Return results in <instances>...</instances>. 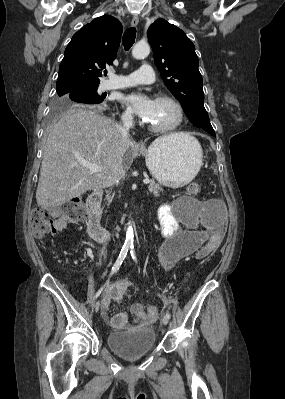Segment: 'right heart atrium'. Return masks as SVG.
I'll return each mask as SVG.
<instances>
[{
  "instance_id": "obj_1",
  "label": "right heart atrium",
  "mask_w": 285,
  "mask_h": 399,
  "mask_svg": "<svg viewBox=\"0 0 285 399\" xmlns=\"http://www.w3.org/2000/svg\"><path fill=\"white\" fill-rule=\"evenodd\" d=\"M122 116H123V118L125 120H132L133 119V112H132L131 109H126V110H124Z\"/></svg>"
}]
</instances>
